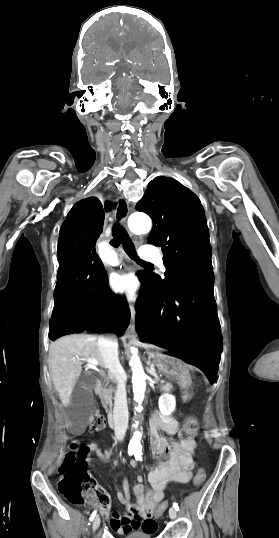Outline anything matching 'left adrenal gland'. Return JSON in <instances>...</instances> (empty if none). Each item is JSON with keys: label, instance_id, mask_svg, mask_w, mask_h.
Masks as SVG:
<instances>
[{"label": "left adrenal gland", "instance_id": "a2214340", "mask_svg": "<svg viewBox=\"0 0 279 538\" xmlns=\"http://www.w3.org/2000/svg\"><path fill=\"white\" fill-rule=\"evenodd\" d=\"M148 362H151L150 358H149ZM156 380H160V378H158V376H156Z\"/></svg>", "mask_w": 279, "mask_h": 538}]
</instances>
